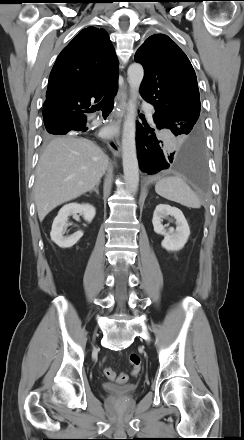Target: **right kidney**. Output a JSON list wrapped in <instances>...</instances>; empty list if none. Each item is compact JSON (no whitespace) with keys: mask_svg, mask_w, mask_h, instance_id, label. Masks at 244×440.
Instances as JSON below:
<instances>
[{"mask_svg":"<svg viewBox=\"0 0 244 440\" xmlns=\"http://www.w3.org/2000/svg\"><path fill=\"white\" fill-rule=\"evenodd\" d=\"M78 213L83 216L85 221L90 223L95 217L96 210L90 204L70 203L64 205L54 219L50 232L51 240L59 247L70 248L83 236L82 231H77L68 237L63 236L68 217L71 215L76 216Z\"/></svg>","mask_w":244,"mask_h":440,"instance_id":"right-kidney-1","label":"right kidney"}]
</instances>
